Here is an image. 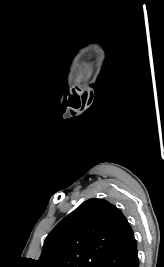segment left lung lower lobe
<instances>
[{
	"label": "left lung lower lobe",
	"instance_id": "left-lung-lower-lobe-1",
	"mask_svg": "<svg viewBox=\"0 0 164 267\" xmlns=\"http://www.w3.org/2000/svg\"><path fill=\"white\" fill-rule=\"evenodd\" d=\"M99 267H139L136 240L129 224Z\"/></svg>",
	"mask_w": 164,
	"mask_h": 267
}]
</instances>
